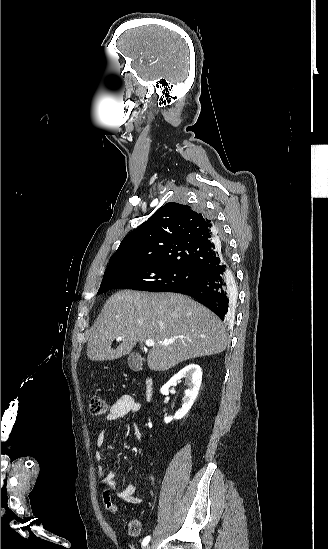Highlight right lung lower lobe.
I'll return each instance as SVG.
<instances>
[{
  "label": "right lung lower lobe",
  "instance_id": "right-lung-lower-lobe-1",
  "mask_svg": "<svg viewBox=\"0 0 328 549\" xmlns=\"http://www.w3.org/2000/svg\"><path fill=\"white\" fill-rule=\"evenodd\" d=\"M201 274L197 280L171 289L169 292L190 295L217 314L223 321H227L230 295L236 291L228 257L226 256L217 268Z\"/></svg>",
  "mask_w": 328,
  "mask_h": 549
}]
</instances>
